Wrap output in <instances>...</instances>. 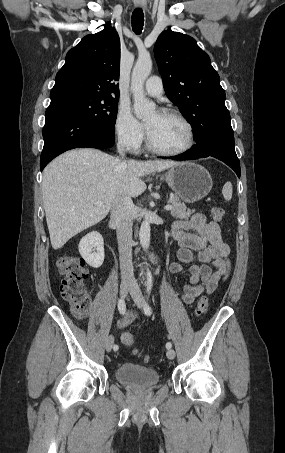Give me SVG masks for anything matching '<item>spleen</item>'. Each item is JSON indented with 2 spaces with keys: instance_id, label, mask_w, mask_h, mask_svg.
<instances>
[{
  "instance_id": "1",
  "label": "spleen",
  "mask_w": 285,
  "mask_h": 453,
  "mask_svg": "<svg viewBox=\"0 0 285 453\" xmlns=\"http://www.w3.org/2000/svg\"><path fill=\"white\" fill-rule=\"evenodd\" d=\"M232 193H233V189H232V184L231 182H226L223 186V189H222V194H223V197L226 201H229L231 200L232 198Z\"/></svg>"
}]
</instances>
